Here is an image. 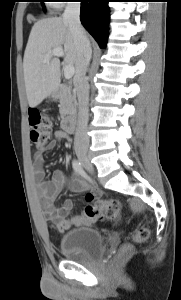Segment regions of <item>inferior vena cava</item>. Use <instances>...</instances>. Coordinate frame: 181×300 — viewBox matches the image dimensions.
Here are the masks:
<instances>
[{"label": "inferior vena cava", "mask_w": 181, "mask_h": 300, "mask_svg": "<svg viewBox=\"0 0 181 300\" xmlns=\"http://www.w3.org/2000/svg\"><path fill=\"white\" fill-rule=\"evenodd\" d=\"M63 20L68 23L77 51L74 86L78 97V119L74 137V149L76 153H79L87 150L89 144V138L87 136L89 84L86 79V72L91 60L92 49L90 41L80 22V2H69L66 5Z\"/></svg>", "instance_id": "602c4592"}]
</instances>
